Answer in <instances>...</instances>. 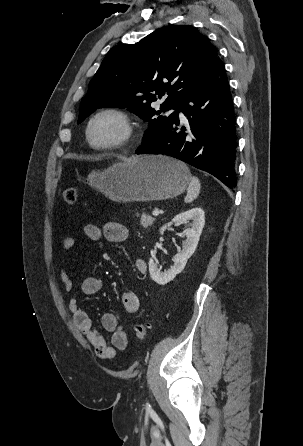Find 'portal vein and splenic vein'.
I'll return each mask as SVG.
<instances>
[{
	"label": "portal vein and splenic vein",
	"instance_id": "obj_1",
	"mask_svg": "<svg viewBox=\"0 0 303 446\" xmlns=\"http://www.w3.org/2000/svg\"><path fill=\"white\" fill-rule=\"evenodd\" d=\"M159 214H160V211L157 209L152 212L153 216H158Z\"/></svg>",
	"mask_w": 303,
	"mask_h": 446
}]
</instances>
